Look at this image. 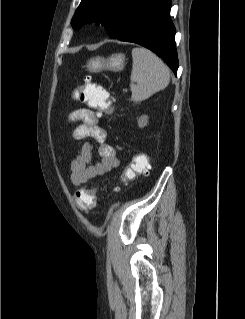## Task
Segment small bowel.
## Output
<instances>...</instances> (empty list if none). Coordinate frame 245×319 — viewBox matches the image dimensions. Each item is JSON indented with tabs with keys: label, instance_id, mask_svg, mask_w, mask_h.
Returning a JSON list of instances; mask_svg holds the SVG:
<instances>
[{
	"label": "small bowel",
	"instance_id": "obj_1",
	"mask_svg": "<svg viewBox=\"0 0 245 319\" xmlns=\"http://www.w3.org/2000/svg\"><path fill=\"white\" fill-rule=\"evenodd\" d=\"M78 98V95H75ZM100 114L87 108L73 111L68 121L79 123L71 132L75 140L92 139L96 143L99 160L92 161L93 146L85 144L80 153L71 161V181L74 185H84L98 176L105 175L119 166L114 148L107 144L106 130L99 124Z\"/></svg>",
	"mask_w": 245,
	"mask_h": 319
}]
</instances>
